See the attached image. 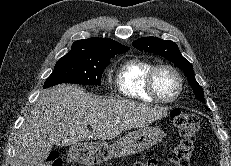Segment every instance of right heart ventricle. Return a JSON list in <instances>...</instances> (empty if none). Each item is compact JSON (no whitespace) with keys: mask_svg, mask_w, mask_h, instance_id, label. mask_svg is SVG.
Segmentation results:
<instances>
[{"mask_svg":"<svg viewBox=\"0 0 231 166\" xmlns=\"http://www.w3.org/2000/svg\"><path fill=\"white\" fill-rule=\"evenodd\" d=\"M153 66L151 61L137 57L125 61L116 75L119 92L129 99L155 101L146 89V76Z\"/></svg>","mask_w":231,"mask_h":166,"instance_id":"obj_1","label":"right heart ventricle"}]
</instances>
